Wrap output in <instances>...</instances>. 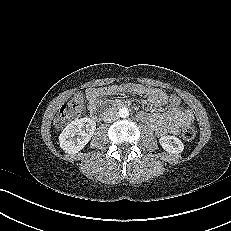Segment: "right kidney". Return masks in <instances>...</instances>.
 I'll return each mask as SVG.
<instances>
[{
  "label": "right kidney",
  "instance_id": "1",
  "mask_svg": "<svg viewBox=\"0 0 231 231\" xmlns=\"http://www.w3.org/2000/svg\"><path fill=\"white\" fill-rule=\"evenodd\" d=\"M96 130V122L90 118H80L68 124L59 135L60 147L68 154L82 150Z\"/></svg>",
  "mask_w": 231,
  "mask_h": 231
}]
</instances>
